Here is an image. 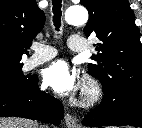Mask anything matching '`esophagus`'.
Here are the masks:
<instances>
[{"mask_svg": "<svg viewBox=\"0 0 142 128\" xmlns=\"http://www.w3.org/2000/svg\"><path fill=\"white\" fill-rule=\"evenodd\" d=\"M65 124L67 128H81L77 119L69 113L65 115Z\"/></svg>", "mask_w": 142, "mask_h": 128, "instance_id": "34e87169", "label": "esophagus"}]
</instances>
